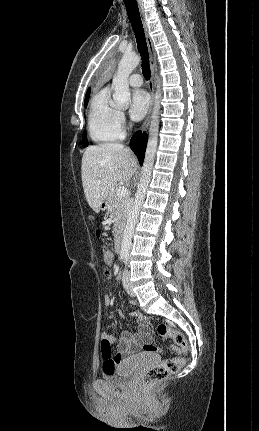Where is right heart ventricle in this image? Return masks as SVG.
<instances>
[{
    "mask_svg": "<svg viewBox=\"0 0 259 431\" xmlns=\"http://www.w3.org/2000/svg\"><path fill=\"white\" fill-rule=\"evenodd\" d=\"M109 88L99 90L91 99L87 128L91 140L95 143L116 141L123 136L116 121L117 110L109 103Z\"/></svg>",
    "mask_w": 259,
    "mask_h": 431,
    "instance_id": "e07e8e85",
    "label": "right heart ventricle"
}]
</instances>
